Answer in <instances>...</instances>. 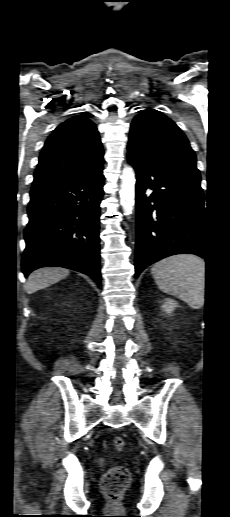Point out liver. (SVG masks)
I'll return each instance as SVG.
<instances>
[{
    "mask_svg": "<svg viewBox=\"0 0 230 517\" xmlns=\"http://www.w3.org/2000/svg\"><path fill=\"white\" fill-rule=\"evenodd\" d=\"M69 270L60 267H44L33 271L27 279L25 289L32 294L40 289L49 287L69 275Z\"/></svg>",
    "mask_w": 230,
    "mask_h": 517,
    "instance_id": "6515ba94",
    "label": "liver"
}]
</instances>
